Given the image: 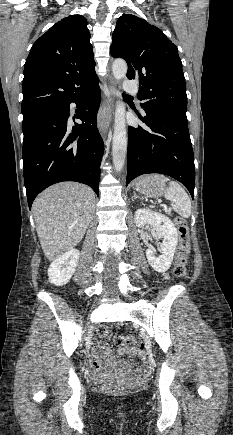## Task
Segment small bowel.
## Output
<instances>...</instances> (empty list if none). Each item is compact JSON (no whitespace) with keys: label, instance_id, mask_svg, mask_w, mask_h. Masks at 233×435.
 Here are the masks:
<instances>
[{"label":"small bowel","instance_id":"c3829d8e","mask_svg":"<svg viewBox=\"0 0 233 435\" xmlns=\"http://www.w3.org/2000/svg\"><path fill=\"white\" fill-rule=\"evenodd\" d=\"M166 278H168V276H165ZM120 353L122 354H126L128 357H136L138 352L137 349L133 346H130L129 344H124L122 345L119 350ZM110 350L105 348L104 346H100L99 350L96 353V357L97 358H109L110 357ZM113 368L114 369H125L126 365L123 363H114L113 364ZM91 370L93 372V376L94 378L98 379L102 376H104V374L108 371H110L111 369L109 368H103L97 361H93L91 364ZM136 370H138L140 373H145L147 371V366L144 364H140L139 366L136 367Z\"/></svg>","mask_w":233,"mask_h":435}]
</instances>
